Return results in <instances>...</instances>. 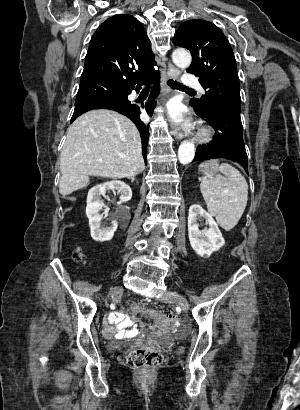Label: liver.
<instances>
[{"instance_id":"1","label":"liver","mask_w":300,"mask_h":410,"mask_svg":"<svg viewBox=\"0 0 300 410\" xmlns=\"http://www.w3.org/2000/svg\"><path fill=\"white\" fill-rule=\"evenodd\" d=\"M145 169L139 131L127 117L110 110L89 111L69 127L60 155L59 192L86 187L90 176L128 178Z\"/></svg>"}]
</instances>
